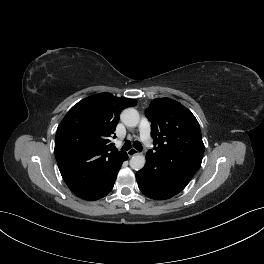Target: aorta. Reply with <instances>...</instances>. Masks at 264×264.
Segmentation results:
<instances>
[{"label":"aorta","instance_id":"obj_1","mask_svg":"<svg viewBox=\"0 0 264 264\" xmlns=\"http://www.w3.org/2000/svg\"><path fill=\"white\" fill-rule=\"evenodd\" d=\"M121 121L128 127H136L139 123V113L134 108H126L120 115ZM143 155H135L130 159V167L134 170H140L145 165Z\"/></svg>","mask_w":264,"mask_h":264}]
</instances>
